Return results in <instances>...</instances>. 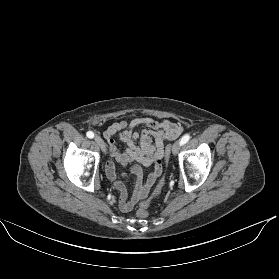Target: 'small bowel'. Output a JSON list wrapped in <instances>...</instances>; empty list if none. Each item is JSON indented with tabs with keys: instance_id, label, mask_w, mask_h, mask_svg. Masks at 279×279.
<instances>
[{
	"instance_id": "small-bowel-1",
	"label": "small bowel",
	"mask_w": 279,
	"mask_h": 279,
	"mask_svg": "<svg viewBox=\"0 0 279 279\" xmlns=\"http://www.w3.org/2000/svg\"><path fill=\"white\" fill-rule=\"evenodd\" d=\"M142 126L141 133L135 131ZM182 128L170 120L156 121L151 117L134 118L130 122L121 120L112 124L104 133L109 144L111 159L106 163L105 171L120 193L119 207L122 211H130L144 199L153 184L161 174V160L164 152V143L176 139ZM116 137L126 145L123 151L117 147ZM114 161L121 165L138 162L146 167L152 166L145 182L142 181V168L134 165L131 172L136 176V189L128 199V187L123 175H120Z\"/></svg>"
}]
</instances>
